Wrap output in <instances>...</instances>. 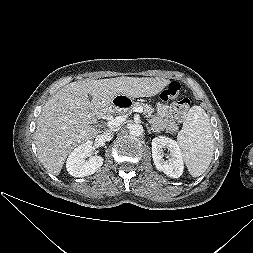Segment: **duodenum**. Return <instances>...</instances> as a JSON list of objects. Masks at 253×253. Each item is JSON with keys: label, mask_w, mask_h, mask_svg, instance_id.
I'll return each mask as SVG.
<instances>
[{"label": "duodenum", "mask_w": 253, "mask_h": 253, "mask_svg": "<svg viewBox=\"0 0 253 253\" xmlns=\"http://www.w3.org/2000/svg\"><path fill=\"white\" fill-rule=\"evenodd\" d=\"M114 104H116V100H114Z\"/></svg>", "instance_id": "duodenum-1"}]
</instances>
